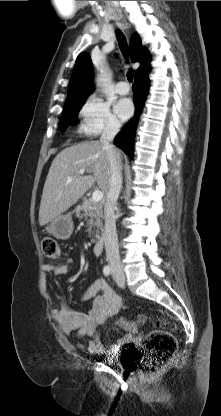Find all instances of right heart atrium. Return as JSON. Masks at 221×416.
Instances as JSON below:
<instances>
[{"label": "right heart atrium", "instance_id": "1", "mask_svg": "<svg viewBox=\"0 0 221 416\" xmlns=\"http://www.w3.org/2000/svg\"><path fill=\"white\" fill-rule=\"evenodd\" d=\"M79 132L85 136L94 137L102 133H116L120 122L112 113L108 103L95 95L89 96L79 111Z\"/></svg>", "mask_w": 221, "mask_h": 416}]
</instances>
